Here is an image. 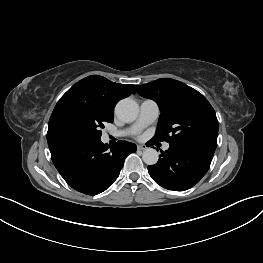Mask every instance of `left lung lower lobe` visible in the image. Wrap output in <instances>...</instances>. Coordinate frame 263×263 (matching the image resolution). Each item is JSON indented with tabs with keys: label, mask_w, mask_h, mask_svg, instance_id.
I'll list each match as a JSON object with an SVG mask.
<instances>
[{
	"label": "left lung lower lobe",
	"mask_w": 263,
	"mask_h": 263,
	"mask_svg": "<svg viewBox=\"0 0 263 263\" xmlns=\"http://www.w3.org/2000/svg\"><path fill=\"white\" fill-rule=\"evenodd\" d=\"M214 150L183 144H170L159 161L148 166L149 175L160 186L173 191L193 187L208 171Z\"/></svg>",
	"instance_id": "1"
}]
</instances>
